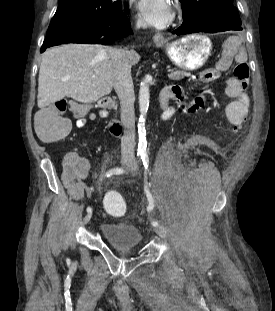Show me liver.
Instances as JSON below:
<instances>
[{"label": "liver", "mask_w": 275, "mask_h": 311, "mask_svg": "<svg viewBox=\"0 0 275 311\" xmlns=\"http://www.w3.org/2000/svg\"><path fill=\"white\" fill-rule=\"evenodd\" d=\"M113 50L92 44H68L46 50L39 70L38 107L42 110L64 97L91 104L110 94L114 84ZM129 59L131 65H136L140 55L131 50Z\"/></svg>", "instance_id": "1"}]
</instances>
